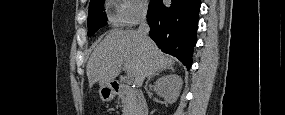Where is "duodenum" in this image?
<instances>
[{"mask_svg": "<svg viewBox=\"0 0 285 115\" xmlns=\"http://www.w3.org/2000/svg\"><path fill=\"white\" fill-rule=\"evenodd\" d=\"M110 90L115 93H122L127 90V87L125 84L121 82H112L110 84ZM136 97H138V94H136ZM134 115H147V105L144 103L143 99L141 97L138 98V103L133 109Z\"/></svg>", "mask_w": 285, "mask_h": 115, "instance_id": "duodenum-1", "label": "duodenum"}]
</instances>
